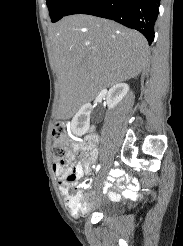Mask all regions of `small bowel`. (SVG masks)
<instances>
[{
  "instance_id": "obj_1",
  "label": "small bowel",
  "mask_w": 183,
  "mask_h": 246,
  "mask_svg": "<svg viewBox=\"0 0 183 246\" xmlns=\"http://www.w3.org/2000/svg\"><path fill=\"white\" fill-rule=\"evenodd\" d=\"M97 136H89L81 144L72 143L69 145L67 154L68 164L65 166L55 163L53 166L54 174L57 178V183L61 195L65 199L67 207L70 209L72 215L79 216L86 213L95 203L96 197L92 194L85 195L84 190H88L91 187L89 180L84 181L75 193H71L70 187L73 183H69L67 178H75V180L81 178L84 175L91 173L92 162L97 156ZM81 151L84 154V163L74 161L75 153ZM125 169H110L112 179H117L116 186L111 190V185H115V180H106L102 188V192L106 194L111 200L120 199L123 194L125 198H136L137 189H142V184H137L135 181L132 184H125L126 179H131V174H125ZM122 174V175H121ZM81 196L88 204L89 209L86 212H79L72 208V201L75 197Z\"/></svg>"
}]
</instances>
